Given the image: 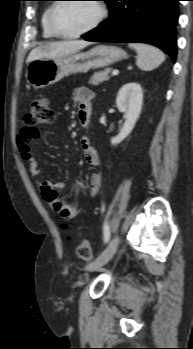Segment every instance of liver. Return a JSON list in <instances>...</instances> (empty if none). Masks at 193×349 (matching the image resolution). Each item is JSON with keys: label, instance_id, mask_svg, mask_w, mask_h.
Instances as JSON below:
<instances>
[{"label": "liver", "instance_id": "1", "mask_svg": "<svg viewBox=\"0 0 193 349\" xmlns=\"http://www.w3.org/2000/svg\"><path fill=\"white\" fill-rule=\"evenodd\" d=\"M90 45V42L84 40H70L49 42L34 48L28 58L27 63L36 59L62 58L72 55Z\"/></svg>", "mask_w": 193, "mask_h": 349}]
</instances>
